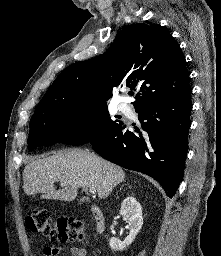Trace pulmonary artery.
<instances>
[{"label": "pulmonary artery", "mask_w": 221, "mask_h": 256, "mask_svg": "<svg viewBox=\"0 0 221 256\" xmlns=\"http://www.w3.org/2000/svg\"><path fill=\"white\" fill-rule=\"evenodd\" d=\"M120 110L130 116L132 114V108L130 107V105L126 104V103H121L120 106H119Z\"/></svg>", "instance_id": "1"}]
</instances>
